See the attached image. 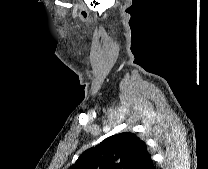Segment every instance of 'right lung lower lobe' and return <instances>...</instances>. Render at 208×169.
<instances>
[{
  "mask_svg": "<svg viewBox=\"0 0 208 169\" xmlns=\"http://www.w3.org/2000/svg\"><path fill=\"white\" fill-rule=\"evenodd\" d=\"M147 169H155L153 162L147 167Z\"/></svg>",
  "mask_w": 208,
  "mask_h": 169,
  "instance_id": "98d812e1",
  "label": "right lung lower lobe"
}]
</instances>
